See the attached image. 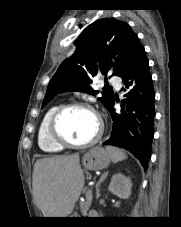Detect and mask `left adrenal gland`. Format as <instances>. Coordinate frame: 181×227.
Wrapping results in <instances>:
<instances>
[{
    "instance_id": "obj_1",
    "label": "left adrenal gland",
    "mask_w": 181,
    "mask_h": 227,
    "mask_svg": "<svg viewBox=\"0 0 181 227\" xmlns=\"http://www.w3.org/2000/svg\"><path fill=\"white\" fill-rule=\"evenodd\" d=\"M108 176V171L105 172L104 174H102L100 180L98 181V183L96 184V198H100V190H99V186L100 184L106 179V177Z\"/></svg>"
}]
</instances>
